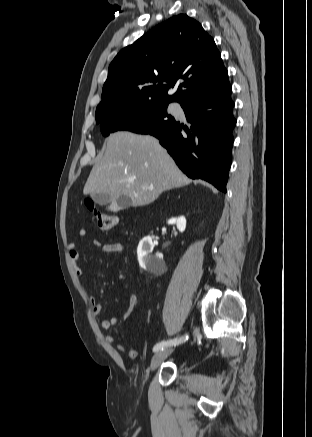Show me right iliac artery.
Here are the masks:
<instances>
[{"label":"right iliac artery","mask_w":312,"mask_h":437,"mask_svg":"<svg viewBox=\"0 0 312 437\" xmlns=\"http://www.w3.org/2000/svg\"><path fill=\"white\" fill-rule=\"evenodd\" d=\"M187 339H188V335H185V336H182L180 338H175L173 340L159 342L154 346L153 351L157 352V351L162 350L163 348H165L167 346H172V345L183 343Z\"/></svg>","instance_id":"right-iliac-artery-1"}]
</instances>
